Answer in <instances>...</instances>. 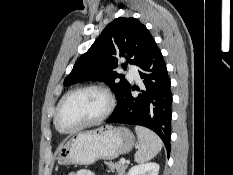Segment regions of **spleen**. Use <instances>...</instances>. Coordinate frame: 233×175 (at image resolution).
<instances>
[{
    "label": "spleen",
    "mask_w": 233,
    "mask_h": 175,
    "mask_svg": "<svg viewBox=\"0 0 233 175\" xmlns=\"http://www.w3.org/2000/svg\"><path fill=\"white\" fill-rule=\"evenodd\" d=\"M135 131L140 147L135 154L137 163H144L154 158L162 149V141L157 134L148 128L136 126Z\"/></svg>",
    "instance_id": "3e777b00"
}]
</instances>
